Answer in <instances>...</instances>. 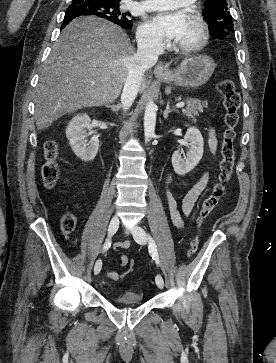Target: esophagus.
I'll return each instance as SVG.
<instances>
[{
  "label": "esophagus",
  "mask_w": 276,
  "mask_h": 363,
  "mask_svg": "<svg viewBox=\"0 0 276 363\" xmlns=\"http://www.w3.org/2000/svg\"><path fill=\"white\" fill-rule=\"evenodd\" d=\"M154 73L155 74H165L167 73V69L164 66V64L162 62L158 63L154 69Z\"/></svg>",
  "instance_id": "34e87169"
}]
</instances>
